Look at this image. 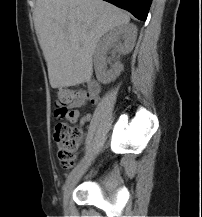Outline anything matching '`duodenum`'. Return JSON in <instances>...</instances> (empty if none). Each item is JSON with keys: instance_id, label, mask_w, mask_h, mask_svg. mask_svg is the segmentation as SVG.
<instances>
[{"instance_id": "duodenum-1", "label": "duodenum", "mask_w": 202, "mask_h": 217, "mask_svg": "<svg viewBox=\"0 0 202 217\" xmlns=\"http://www.w3.org/2000/svg\"><path fill=\"white\" fill-rule=\"evenodd\" d=\"M100 91L99 84L95 81H90L89 82V87H88V92L90 94H97Z\"/></svg>"}]
</instances>
